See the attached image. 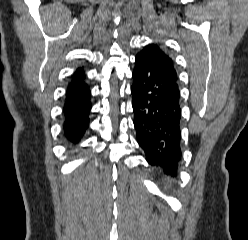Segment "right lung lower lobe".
I'll use <instances>...</instances> for the list:
<instances>
[{"instance_id": "obj_1", "label": "right lung lower lobe", "mask_w": 248, "mask_h": 240, "mask_svg": "<svg viewBox=\"0 0 248 240\" xmlns=\"http://www.w3.org/2000/svg\"><path fill=\"white\" fill-rule=\"evenodd\" d=\"M83 71L73 75L66 91L63 106V133L73 143H78L89 126L91 109L90 90Z\"/></svg>"}]
</instances>
